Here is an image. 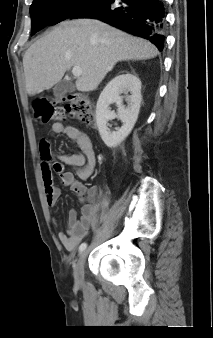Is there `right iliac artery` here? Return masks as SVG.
Masks as SVG:
<instances>
[{"label":"right iliac artery","instance_id":"1","mask_svg":"<svg viewBox=\"0 0 213 338\" xmlns=\"http://www.w3.org/2000/svg\"><path fill=\"white\" fill-rule=\"evenodd\" d=\"M86 247H87V243L85 242L82 243L79 247V252L82 253L86 249Z\"/></svg>","mask_w":213,"mask_h":338}]
</instances>
